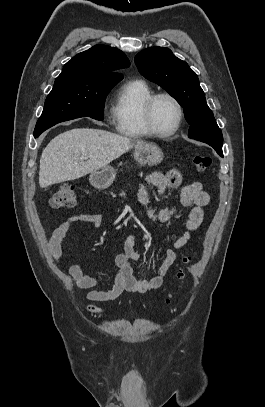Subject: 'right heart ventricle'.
Returning a JSON list of instances; mask_svg holds the SVG:
<instances>
[{
    "label": "right heart ventricle",
    "instance_id": "e07e8e85",
    "mask_svg": "<svg viewBox=\"0 0 265 407\" xmlns=\"http://www.w3.org/2000/svg\"><path fill=\"white\" fill-rule=\"evenodd\" d=\"M151 95V87L143 80L128 81L120 88L112 110L118 133L129 138L151 136L142 117L143 106Z\"/></svg>",
    "mask_w": 265,
    "mask_h": 407
}]
</instances>
